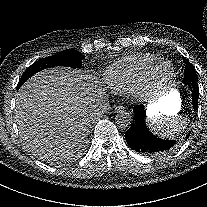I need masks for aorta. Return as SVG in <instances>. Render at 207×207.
Segmentation results:
<instances>
[{
    "mask_svg": "<svg viewBox=\"0 0 207 207\" xmlns=\"http://www.w3.org/2000/svg\"><path fill=\"white\" fill-rule=\"evenodd\" d=\"M117 126L123 129H127L133 122L132 116L129 112L120 110L115 116Z\"/></svg>",
    "mask_w": 207,
    "mask_h": 207,
    "instance_id": "1",
    "label": "aorta"
}]
</instances>
